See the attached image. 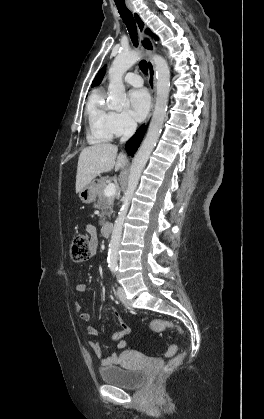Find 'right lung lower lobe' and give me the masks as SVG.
<instances>
[{"mask_svg":"<svg viewBox=\"0 0 264 419\" xmlns=\"http://www.w3.org/2000/svg\"><path fill=\"white\" fill-rule=\"evenodd\" d=\"M146 131V126L142 125L138 128L136 133L131 137V139L126 143V150L130 155H133L137 148L139 147Z\"/></svg>","mask_w":264,"mask_h":419,"instance_id":"98d812e1","label":"right lung lower lobe"}]
</instances>
